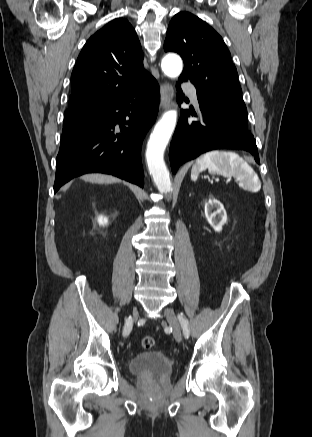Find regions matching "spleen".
I'll return each mask as SVG.
<instances>
[{
  "mask_svg": "<svg viewBox=\"0 0 312 437\" xmlns=\"http://www.w3.org/2000/svg\"><path fill=\"white\" fill-rule=\"evenodd\" d=\"M224 177H234L253 192L261 188L258 176L249 164L238 154L231 151H210L200 156L191 170V179L197 180L198 175L205 169Z\"/></svg>",
  "mask_w": 312,
  "mask_h": 437,
  "instance_id": "spleen-1",
  "label": "spleen"
}]
</instances>
